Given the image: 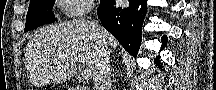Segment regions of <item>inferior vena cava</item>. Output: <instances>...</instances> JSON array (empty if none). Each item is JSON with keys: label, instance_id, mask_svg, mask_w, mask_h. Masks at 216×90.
I'll return each mask as SVG.
<instances>
[{"label": "inferior vena cava", "instance_id": "obj_1", "mask_svg": "<svg viewBox=\"0 0 216 90\" xmlns=\"http://www.w3.org/2000/svg\"><path fill=\"white\" fill-rule=\"evenodd\" d=\"M93 24L99 30H102L99 20H94ZM111 72L110 48L106 46V42L103 40L100 48L99 62L94 64L93 70H91V76H93V82H95L94 90H111Z\"/></svg>", "mask_w": 216, "mask_h": 90}]
</instances>
